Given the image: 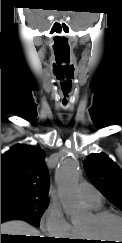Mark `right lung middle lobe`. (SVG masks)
Masks as SVG:
<instances>
[{
    "mask_svg": "<svg viewBox=\"0 0 122 243\" xmlns=\"http://www.w3.org/2000/svg\"><path fill=\"white\" fill-rule=\"evenodd\" d=\"M49 204V198H38L27 195L1 196V211L23 213L37 224Z\"/></svg>",
    "mask_w": 122,
    "mask_h": 243,
    "instance_id": "obj_1",
    "label": "right lung middle lobe"
}]
</instances>
